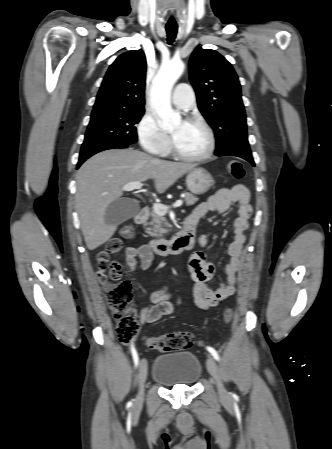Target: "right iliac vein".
Listing matches in <instances>:
<instances>
[{"label": "right iliac vein", "mask_w": 332, "mask_h": 449, "mask_svg": "<svg viewBox=\"0 0 332 449\" xmlns=\"http://www.w3.org/2000/svg\"><path fill=\"white\" fill-rule=\"evenodd\" d=\"M147 370H148L147 361H146V359H142L140 361L139 369H138L139 389H138V394H137L136 402H135L136 405H140L144 398V384H145V381L147 378Z\"/></svg>", "instance_id": "right-iliac-vein-1"}]
</instances>
